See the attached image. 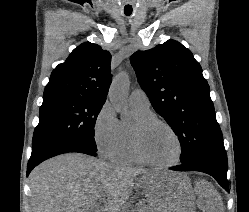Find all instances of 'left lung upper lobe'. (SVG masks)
<instances>
[{
    "mask_svg": "<svg viewBox=\"0 0 249 212\" xmlns=\"http://www.w3.org/2000/svg\"><path fill=\"white\" fill-rule=\"evenodd\" d=\"M141 88L181 144V162L224 145L210 89L200 64L182 44L168 40L131 58Z\"/></svg>",
    "mask_w": 249,
    "mask_h": 212,
    "instance_id": "5c2ea615",
    "label": "left lung upper lobe"
}]
</instances>
